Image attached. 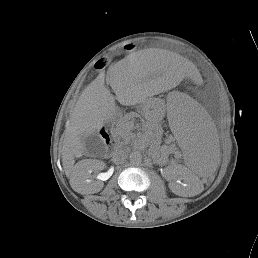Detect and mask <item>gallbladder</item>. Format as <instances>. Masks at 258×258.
I'll return each instance as SVG.
<instances>
[{"instance_id": "bac80fb5", "label": "gallbladder", "mask_w": 258, "mask_h": 258, "mask_svg": "<svg viewBox=\"0 0 258 258\" xmlns=\"http://www.w3.org/2000/svg\"><path fill=\"white\" fill-rule=\"evenodd\" d=\"M86 151L88 154L93 155L98 150H101L103 143L97 134H92L84 139Z\"/></svg>"}]
</instances>
